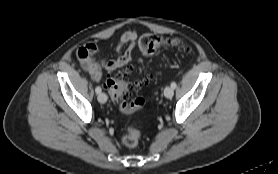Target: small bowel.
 Listing matches in <instances>:
<instances>
[{
	"label": "small bowel",
	"instance_id": "1",
	"mask_svg": "<svg viewBox=\"0 0 278 174\" xmlns=\"http://www.w3.org/2000/svg\"><path fill=\"white\" fill-rule=\"evenodd\" d=\"M136 30L124 32L117 46V56L112 59L96 60L98 47L94 42H88L77 51L78 60L85 72L94 81L101 80L104 71H114L127 65L131 59L136 46Z\"/></svg>",
	"mask_w": 278,
	"mask_h": 174
}]
</instances>
